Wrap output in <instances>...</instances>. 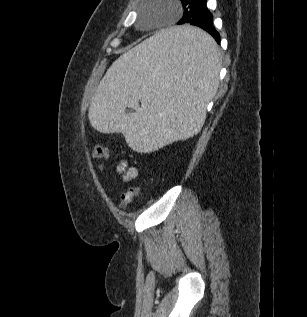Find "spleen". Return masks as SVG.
Segmentation results:
<instances>
[{"label": "spleen", "instance_id": "obj_1", "mask_svg": "<svg viewBox=\"0 0 307 317\" xmlns=\"http://www.w3.org/2000/svg\"><path fill=\"white\" fill-rule=\"evenodd\" d=\"M220 54L215 41L195 26L159 29L118 58L92 97V126L121 132L129 146L147 155L173 139L197 134L218 88ZM144 107L127 115L124 106Z\"/></svg>", "mask_w": 307, "mask_h": 317}]
</instances>
